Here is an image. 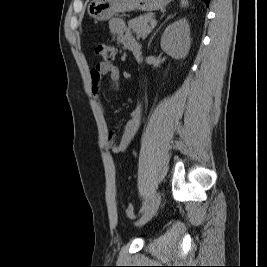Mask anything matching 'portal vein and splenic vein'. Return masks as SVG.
I'll use <instances>...</instances> for the list:
<instances>
[{"label": "portal vein and splenic vein", "instance_id": "18ae733b", "mask_svg": "<svg viewBox=\"0 0 267 267\" xmlns=\"http://www.w3.org/2000/svg\"><path fill=\"white\" fill-rule=\"evenodd\" d=\"M156 24H157V20L156 19H152L150 21V25L155 26Z\"/></svg>", "mask_w": 267, "mask_h": 267}]
</instances>
